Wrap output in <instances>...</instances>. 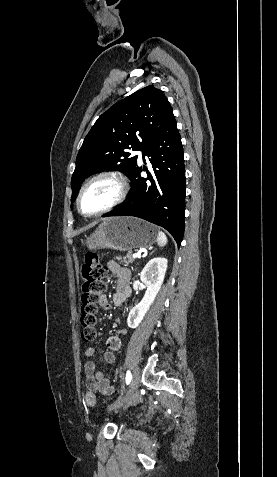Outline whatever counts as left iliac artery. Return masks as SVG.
I'll return each instance as SVG.
<instances>
[{
  "label": "left iliac artery",
  "mask_w": 277,
  "mask_h": 477,
  "mask_svg": "<svg viewBox=\"0 0 277 477\" xmlns=\"http://www.w3.org/2000/svg\"><path fill=\"white\" fill-rule=\"evenodd\" d=\"M131 379H132L131 373H130V371H127V373H126V383L130 384Z\"/></svg>",
  "instance_id": "1"
}]
</instances>
